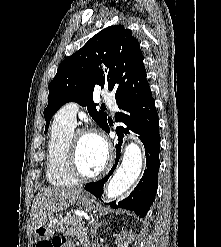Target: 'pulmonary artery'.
Returning <instances> with one entry per match:
<instances>
[{"instance_id": "1", "label": "pulmonary artery", "mask_w": 221, "mask_h": 247, "mask_svg": "<svg viewBox=\"0 0 221 247\" xmlns=\"http://www.w3.org/2000/svg\"><path fill=\"white\" fill-rule=\"evenodd\" d=\"M102 97L110 106H116L114 96L111 93L103 92ZM78 110L79 106L77 103H68L58 112L56 118L67 125L75 127Z\"/></svg>"}]
</instances>
